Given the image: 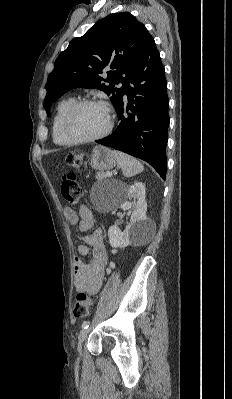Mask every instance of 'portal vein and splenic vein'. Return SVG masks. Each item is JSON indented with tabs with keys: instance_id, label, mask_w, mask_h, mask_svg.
Wrapping results in <instances>:
<instances>
[{
	"instance_id": "obj_1",
	"label": "portal vein and splenic vein",
	"mask_w": 232,
	"mask_h": 399,
	"mask_svg": "<svg viewBox=\"0 0 232 399\" xmlns=\"http://www.w3.org/2000/svg\"><path fill=\"white\" fill-rule=\"evenodd\" d=\"M108 176H112V174H108Z\"/></svg>"
}]
</instances>
